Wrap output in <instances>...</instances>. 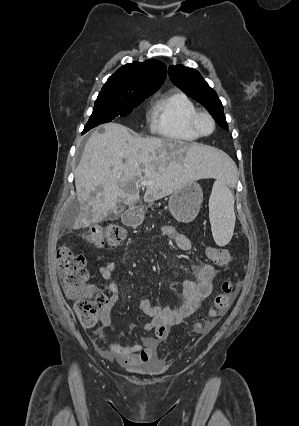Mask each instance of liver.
Masks as SVG:
<instances>
[{"mask_svg": "<svg viewBox=\"0 0 299 426\" xmlns=\"http://www.w3.org/2000/svg\"><path fill=\"white\" fill-rule=\"evenodd\" d=\"M103 128L91 134L75 170L80 204L75 229L103 221L119 202L136 204L142 181L151 182L143 198L153 202L199 178H225L235 168L225 152L211 146L134 136L118 123Z\"/></svg>", "mask_w": 299, "mask_h": 426, "instance_id": "liver-1", "label": "liver"}]
</instances>
